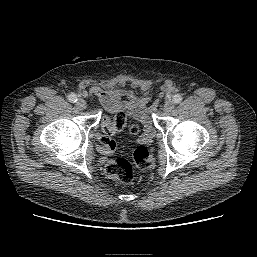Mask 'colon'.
I'll list each match as a JSON object with an SVG mask.
<instances>
[{
  "label": "colon",
  "mask_w": 257,
  "mask_h": 257,
  "mask_svg": "<svg viewBox=\"0 0 257 257\" xmlns=\"http://www.w3.org/2000/svg\"><path fill=\"white\" fill-rule=\"evenodd\" d=\"M126 129L130 135L138 131L137 125H129L125 113L118 112L112 118L106 117L102 122V130L98 134L101 149L104 153L112 152L116 143L113 136ZM153 164V152L146 147H138L131 153V160L126 158H116L111 161L106 172L112 179L122 183H130L134 178V165L139 168H148Z\"/></svg>",
  "instance_id": "colon-1"
}]
</instances>
